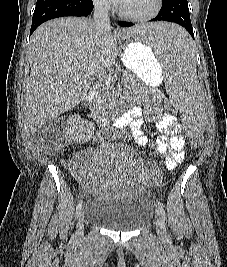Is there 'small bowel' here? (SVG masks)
I'll return each mask as SVG.
<instances>
[{
  "instance_id": "obj_1",
  "label": "small bowel",
  "mask_w": 227,
  "mask_h": 267,
  "mask_svg": "<svg viewBox=\"0 0 227 267\" xmlns=\"http://www.w3.org/2000/svg\"><path fill=\"white\" fill-rule=\"evenodd\" d=\"M145 120L154 123L163 134L156 138L146 134L142 129ZM113 127L118 131H128L131 140L148 157L163 159L167 170H174L180 164V157L185 153L186 141L181 134V124L175 116H167L162 112L156 102L147 103L143 110L133 109L117 117ZM69 171L80 183H88L90 169L82 158H75L69 164Z\"/></svg>"
}]
</instances>
